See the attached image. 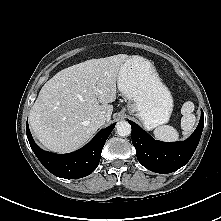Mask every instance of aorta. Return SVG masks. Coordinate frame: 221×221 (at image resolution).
Returning <instances> with one entry per match:
<instances>
[{
    "instance_id": "762f6f07",
    "label": "aorta",
    "mask_w": 221,
    "mask_h": 221,
    "mask_svg": "<svg viewBox=\"0 0 221 221\" xmlns=\"http://www.w3.org/2000/svg\"><path fill=\"white\" fill-rule=\"evenodd\" d=\"M116 133L121 136L125 137L131 134V126L127 121H119L116 124Z\"/></svg>"
}]
</instances>
